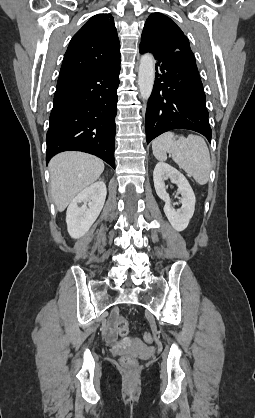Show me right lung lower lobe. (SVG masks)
Masks as SVG:
<instances>
[{
  "mask_svg": "<svg viewBox=\"0 0 255 418\" xmlns=\"http://www.w3.org/2000/svg\"><path fill=\"white\" fill-rule=\"evenodd\" d=\"M120 61L60 75L46 136V161L67 150L98 156L115 168Z\"/></svg>",
  "mask_w": 255,
  "mask_h": 418,
  "instance_id": "right-lung-lower-lobe-1",
  "label": "right lung lower lobe"
}]
</instances>
